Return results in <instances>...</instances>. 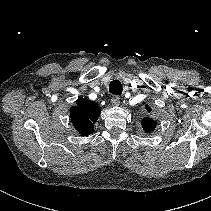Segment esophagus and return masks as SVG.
I'll list each match as a JSON object with an SVG mask.
<instances>
[{"label":"esophagus","mask_w":211,"mask_h":211,"mask_svg":"<svg viewBox=\"0 0 211 211\" xmlns=\"http://www.w3.org/2000/svg\"><path fill=\"white\" fill-rule=\"evenodd\" d=\"M111 103L113 106H118L120 104V97L119 96H113L111 99Z\"/></svg>","instance_id":"34e87169"}]
</instances>
